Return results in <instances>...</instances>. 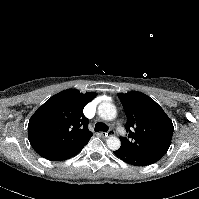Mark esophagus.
Segmentation results:
<instances>
[{"mask_svg": "<svg viewBox=\"0 0 199 199\" xmlns=\"http://www.w3.org/2000/svg\"><path fill=\"white\" fill-rule=\"evenodd\" d=\"M115 134L114 130H110L108 132H101V135L104 137H109V136H113Z\"/></svg>", "mask_w": 199, "mask_h": 199, "instance_id": "obj_1", "label": "esophagus"}]
</instances>
